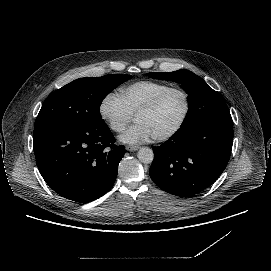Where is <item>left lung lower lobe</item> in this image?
Wrapping results in <instances>:
<instances>
[{
    "label": "left lung lower lobe",
    "mask_w": 271,
    "mask_h": 271,
    "mask_svg": "<svg viewBox=\"0 0 271 271\" xmlns=\"http://www.w3.org/2000/svg\"><path fill=\"white\" fill-rule=\"evenodd\" d=\"M233 121L210 120L178 130L153 147L149 175L162 190L181 197L211 186L228 164L233 144Z\"/></svg>",
    "instance_id": "left-lung-lower-lobe-1"
}]
</instances>
